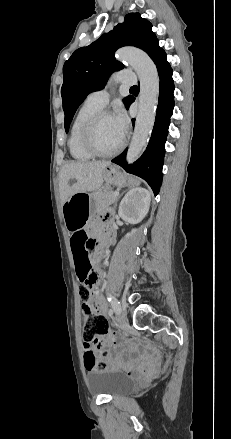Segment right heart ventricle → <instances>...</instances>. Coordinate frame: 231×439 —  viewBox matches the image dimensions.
Instances as JSON below:
<instances>
[{"mask_svg": "<svg viewBox=\"0 0 231 439\" xmlns=\"http://www.w3.org/2000/svg\"><path fill=\"white\" fill-rule=\"evenodd\" d=\"M100 109V107L85 101L73 118L67 139V146L71 156L76 160L88 161L93 157L82 145L81 131L85 122Z\"/></svg>", "mask_w": 231, "mask_h": 439, "instance_id": "obj_1", "label": "right heart ventricle"}]
</instances>
